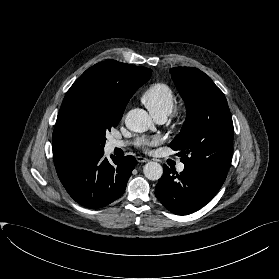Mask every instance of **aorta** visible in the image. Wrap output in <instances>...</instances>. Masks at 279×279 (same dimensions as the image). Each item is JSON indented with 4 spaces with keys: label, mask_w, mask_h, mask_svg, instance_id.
I'll return each mask as SVG.
<instances>
[{
    "label": "aorta",
    "mask_w": 279,
    "mask_h": 279,
    "mask_svg": "<svg viewBox=\"0 0 279 279\" xmlns=\"http://www.w3.org/2000/svg\"><path fill=\"white\" fill-rule=\"evenodd\" d=\"M126 127L133 132H145L153 126L149 114L143 109H132L125 117ZM144 175L147 179L155 181L161 178L163 174L162 166L157 162H148L143 167Z\"/></svg>",
    "instance_id": "762f6f07"
}]
</instances>
